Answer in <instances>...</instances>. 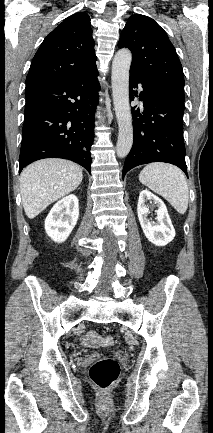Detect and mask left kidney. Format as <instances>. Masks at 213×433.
<instances>
[{
  "instance_id": "left-kidney-1",
  "label": "left kidney",
  "mask_w": 213,
  "mask_h": 433,
  "mask_svg": "<svg viewBox=\"0 0 213 433\" xmlns=\"http://www.w3.org/2000/svg\"><path fill=\"white\" fill-rule=\"evenodd\" d=\"M152 200L158 207L157 222H150L148 219L149 209L146 201ZM137 213L140 225L146 238L156 246H165L175 237V229L172 225L167 208L164 202L148 190H142L139 195Z\"/></svg>"
}]
</instances>
